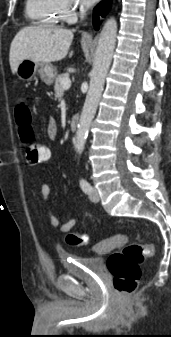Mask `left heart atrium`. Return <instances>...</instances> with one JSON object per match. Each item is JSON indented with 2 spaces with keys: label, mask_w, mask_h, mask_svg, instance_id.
I'll return each instance as SVG.
<instances>
[{
  "label": "left heart atrium",
  "mask_w": 171,
  "mask_h": 337,
  "mask_svg": "<svg viewBox=\"0 0 171 337\" xmlns=\"http://www.w3.org/2000/svg\"><path fill=\"white\" fill-rule=\"evenodd\" d=\"M85 3H87V4H90V3H93V2H95L96 0H83Z\"/></svg>",
  "instance_id": "obj_1"
}]
</instances>
